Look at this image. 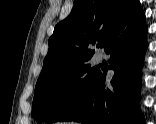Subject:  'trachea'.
Listing matches in <instances>:
<instances>
[{"instance_id": "1", "label": "trachea", "mask_w": 156, "mask_h": 124, "mask_svg": "<svg viewBox=\"0 0 156 124\" xmlns=\"http://www.w3.org/2000/svg\"><path fill=\"white\" fill-rule=\"evenodd\" d=\"M99 45L100 46H103V41L102 40L99 42Z\"/></svg>"}]
</instances>
